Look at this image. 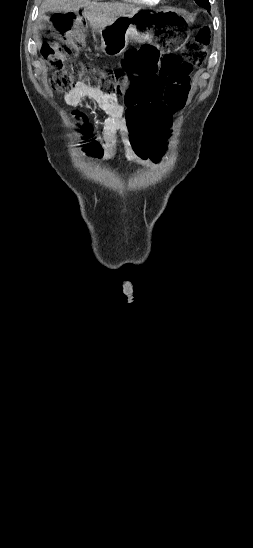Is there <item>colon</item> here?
Wrapping results in <instances>:
<instances>
[{
  "mask_svg": "<svg viewBox=\"0 0 253 548\" xmlns=\"http://www.w3.org/2000/svg\"><path fill=\"white\" fill-rule=\"evenodd\" d=\"M58 39L43 47L42 54L53 70L51 85L61 93L71 91L79 82L106 94L119 93L127 105L126 124L138 159H154L162 154L159 141L168 139L164 128L175 126L174 113L186 103L192 84L190 73L206 59L209 33L203 28L195 39L185 44L181 54L152 60L154 48L143 45L127 52L121 68H102L77 61L78 49L84 45V27L76 12L58 13L53 17ZM87 151L99 154L96 140L87 135ZM159 140V141H158Z\"/></svg>",
  "mask_w": 253,
  "mask_h": 548,
  "instance_id": "obj_1",
  "label": "colon"
}]
</instances>
